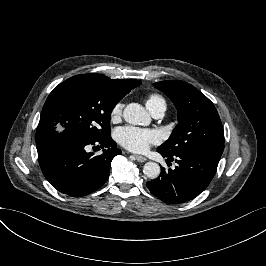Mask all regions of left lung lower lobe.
I'll list each match as a JSON object with an SVG mask.
<instances>
[{
  "label": "left lung lower lobe",
  "instance_id": "obj_1",
  "mask_svg": "<svg viewBox=\"0 0 266 266\" xmlns=\"http://www.w3.org/2000/svg\"><path fill=\"white\" fill-rule=\"evenodd\" d=\"M158 152L178 166L174 170L161 169L158 178L147 182V187L160 200L168 204H179L198 196L210 183L216 173L220 157L198 150H188L176 155Z\"/></svg>",
  "mask_w": 266,
  "mask_h": 266
}]
</instances>
